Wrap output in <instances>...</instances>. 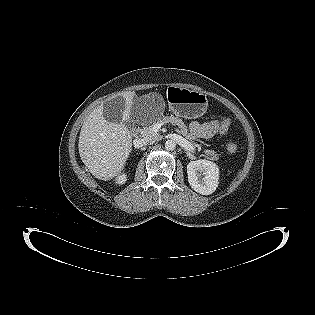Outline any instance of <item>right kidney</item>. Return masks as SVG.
<instances>
[{
	"label": "right kidney",
	"mask_w": 315,
	"mask_h": 315,
	"mask_svg": "<svg viewBox=\"0 0 315 315\" xmlns=\"http://www.w3.org/2000/svg\"><path fill=\"white\" fill-rule=\"evenodd\" d=\"M127 181V177L125 174L120 175L117 179H116V183L119 185H123L125 184V182Z\"/></svg>",
	"instance_id": "obj_1"
}]
</instances>
